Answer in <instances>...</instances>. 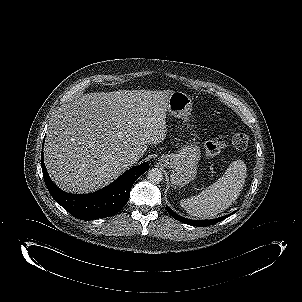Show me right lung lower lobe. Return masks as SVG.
Listing matches in <instances>:
<instances>
[{
  "label": "right lung lower lobe",
  "mask_w": 302,
  "mask_h": 302,
  "mask_svg": "<svg viewBox=\"0 0 302 302\" xmlns=\"http://www.w3.org/2000/svg\"><path fill=\"white\" fill-rule=\"evenodd\" d=\"M41 166L46 186L53 199L77 219L92 220L119 212L130 197L132 185L149 169L148 163L132 168L103 189L90 194H69L60 190L50 179L41 153Z\"/></svg>",
  "instance_id": "right-lung-lower-lobe-1"
}]
</instances>
